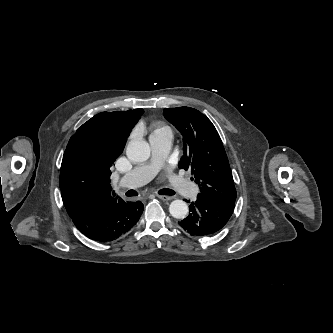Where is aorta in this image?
<instances>
[{"label": "aorta", "mask_w": 333, "mask_h": 333, "mask_svg": "<svg viewBox=\"0 0 333 333\" xmlns=\"http://www.w3.org/2000/svg\"><path fill=\"white\" fill-rule=\"evenodd\" d=\"M150 152V146L144 140H132L126 149L127 157L133 162L148 160ZM169 212L174 218L183 219L188 214V205L183 200H174L169 205Z\"/></svg>", "instance_id": "1"}]
</instances>
